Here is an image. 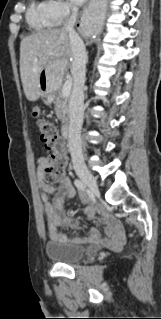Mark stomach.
<instances>
[{
	"instance_id": "1",
	"label": "stomach",
	"mask_w": 161,
	"mask_h": 319,
	"mask_svg": "<svg viewBox=\"0 0 161 319\" xmlns=\"http://www.w3.org/2000/svg\"><path fill=\"white\" fill-rule=\"evenodd\" d=\"M64 69L57 61L49 62L39 74V86L41 96L45 99H51L52 95L60 87Z\"/></svg>"
}]
</instances>
